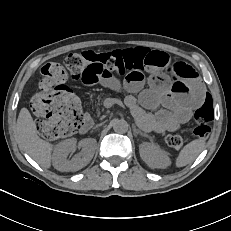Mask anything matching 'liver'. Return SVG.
<instances>
[{"instance_id":"obj_1","label":"liver","mask_w":231,"mask_h":231,"mask_svg":"<svg viewBox=\"0 0 231 231\" xmlns=\"http://www.w3.org/2000/svg\"><path fill=\"white\" fill-rule=\"evenodd\" d=\"M16 131L19 144L38 164L45 168L51 166L53 145L38 136L36 124L27 108L20 110Z\"/></svg>"}]
</instances>
